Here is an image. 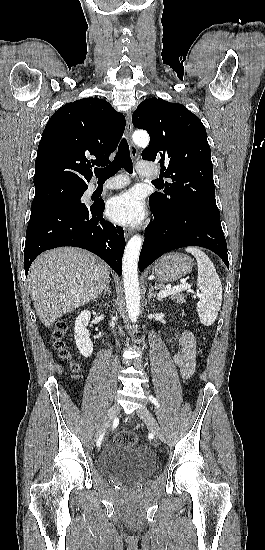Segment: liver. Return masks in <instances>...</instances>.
I'll return each instance as SVG.
<instances>
[{
  "instance_id": "obj_1",
  "label": "liver",
  "mask_w": 265,
  "mask_h": 550,
  "mask_svg": "<svg viewBox=\"0 0 265 550\" xmlns=\"http://www.w3.org/2000/svg\"><path fill=\"white\" fill-rule=\"evenodd\" d=\"M109 282V266L94 254L74 247L41 254L28 275L31 299L46 327L97 298Z\"/></svg>"
}]
</instances>
